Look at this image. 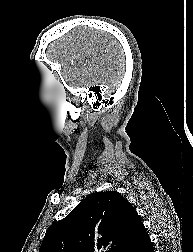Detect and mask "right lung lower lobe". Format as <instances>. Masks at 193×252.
Instances as JSON below:
<instances>
[{
	"label": "right lung lower lobe",
	"mask_w": 193,
	"mask_h": 252,
	"mask_svg": "<svg viewBox=\"0 0 193 252\" xmlns=\"http://www.w3.org/2000/svg\"><path fill=\"white\" fill-rule=\"evenodd\" d=\"M125 252H154L151 240L145 229L140 232L137 240Z\"/></svg>",
	"instance_id": "obj_1"
}]
</instances>
